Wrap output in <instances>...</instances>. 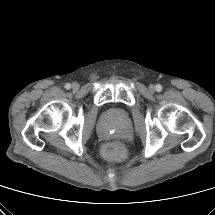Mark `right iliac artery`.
<instances>
[{
    "instance_id": "obj_1",
    "label": "right iliac artery",
    "mask_w": 215,
    "mask_h": 215,
    "mask_svg": "<svg viewBox=\"0 0 215 215\" xmlns=\"http://www.w3.org/2000/svg\"><path fill=\"white\" fill-rule=\"evenodd\" d=\"M65 88L66 89H70L71 88V84H69V83L65 84Z\"/></svg>"
}]
</instances>
